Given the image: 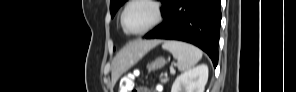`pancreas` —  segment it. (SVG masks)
<instances>
[{
  "mask_svg": "<svg viewBox=\"0 0 296 92\" xmlns=\"http://www.w3.org/2000/svg\"><path fill=\"white\" fill-rule=\"evenodd\" d=\"M168 80H169L168 78L161 79V83H167Z\"/></svg>",
  "mask_w": 296,
  "mask_h": 92,
  "instance_id": "pancreas-1",
  "label": "pancreas"
}]
</instances>
